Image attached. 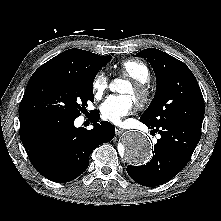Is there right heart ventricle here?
<instances>
[{
    "label": "right heart ventricle",
    "instance_id": "right-heart-ventricle-1",
    "mask_svg": "<svg viewBox=\"0 0 221 221\" xmlns=\"http://www.w3.org/2000/svg\"><path fill=\"white\" fill-rule=\"evenodd\" d=\"M120 71L123 75L140 83L150 80V71L147 65L137 59H126L120 63Z\"/></svg>",
    "mask_w": 221,
    "mask_h": 221
}]
</instances>
